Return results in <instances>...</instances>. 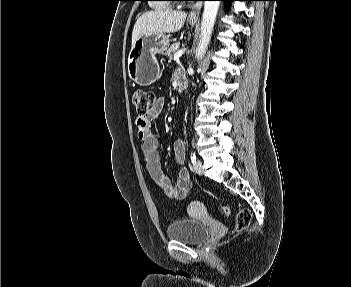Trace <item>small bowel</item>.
Returning <instances> with one entry per match:
<instances>
[{
  "label": "small bowel",
  "mask_w": 351,
  "mask_h": 287,
  "mask_svg": "<svg viewBox=\"0 0 351 287\" xmlns=\"http://www.w3.org/2000/svg\"><path fill=\"white\" fill-rule=\"evenodd\" d=\"M164 104V98L157 97L146 116H137V136L141 141V154L151 178L161 187L167 197L184 199L192 188L189 171L187 168L181 167L177 174L176 184L172 183L171 179L162 170L159 154L160 142L150 128L151 121L161 113ZM174 154L176 162L183 165L185 162V144L182 140H177L174 143Z\"/></svg>",
  "instance_id": "small-bowel-1"
}]
</instances>
